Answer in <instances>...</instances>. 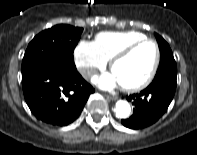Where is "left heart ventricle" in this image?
Returning a JSON list of instances; mask_svg holds the SVG:
<instances>
[{"mask_svg": "<svg viewBox=\"0 0 197 155\" xmlns=\"http://www.w3.org/2000/svg\"><path fill=\"white\" fill-rule=\"evenodd\" d=\"M154 59L155 48L153 44L145 43L119 60L114 65L112 72L121 85H135L148 75Z\"/></svg>", "mask_w": 197, "mask_h": 155, "instance_id": "obj_1", "label": "left heart ventricle"}]
</instances>
